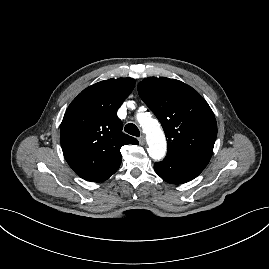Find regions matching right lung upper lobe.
<instances>
[{
    "instance_id": "cb5924a9",
    "label": "right lung upper lobe",
    "mask_w": 269,
    "mask_h": 269,
    "mask_svg": "<svg viewBox=\"0 0 269 269\" xmlns=\"http://www.w3.org/2000/svg\"><path fill=\"white\" fill-rule=\"evenodd\" d=\"M135 86L132 78L109 79L84 89L70 104L61 123L64 157L81 178L102 182L121 164L120 148L138 144L122 132L117 110Z\"/></svg>"
}]
</instances>
